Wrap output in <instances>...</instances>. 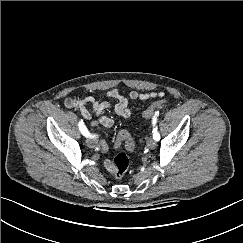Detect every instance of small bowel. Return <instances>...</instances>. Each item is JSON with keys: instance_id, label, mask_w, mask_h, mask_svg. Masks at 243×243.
I'll list each match as a JSON object with an SVG mask.
<instances>
[{"instance_id": "1", "label": "small bowel", "mask_w": 243, "mask_h": 243, "mask_svg": "<svg viewBox=\"0 0 243 243\" xmlns=\"http://www.w3.org/2000/svg\"><path fill=\"white\" fill-rule=\"evenodd\" d=\"M105 95L117 101L114 106V112L118 116L128 118L131 115V111L129 109V99L145 101L157 97H162L163 93L160 91H131L128 95H125L118 89H111L107 91ZM89 104H92V108L89 107ZM76 106L85 119L91 120L94 118V120L91 121V125L93 127H111L114 125L113 118L102 114L104 110L111 108L110 102L105 100H97L92 96H88L80 99ZM100 149L102 153H106L108 151V145L104 140L100 141ZM103 163L108 173L114 174L113 162L110 159L105 158Z\"/></svg>"}]
</instances>
